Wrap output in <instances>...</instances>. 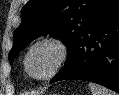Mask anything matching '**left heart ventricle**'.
I'll use <instances>...</instances> for the list:
<instances>
[{
	"mask_svg": "<svg viewBox=\"0 0 119 95\" xmlns=\"http://www.w3.org/2000/svg\"><path fill=\"white\" fill-rule=\"evenodd\" d=\"M59 57L58 49L52 44L35 47L28 58L29 71L35 76H44L54 67Z\"/></svg>",
	"mask_w": 119,
	"mask_h": 95,
	"instance_id": "left-heart-ventricle-1",
	"label": "left heart ventricle"
}]
</instances>
